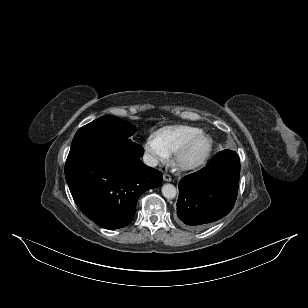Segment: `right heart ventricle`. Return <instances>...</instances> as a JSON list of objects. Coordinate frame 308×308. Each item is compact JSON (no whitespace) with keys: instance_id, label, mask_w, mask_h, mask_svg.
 <instances>
[{"instance_id":"right-heart-ventricle-1","label":"right heart ventricle","mask_w":308,"mask_h":308,"mask_svg":"<svg viewBox=\"0 0 308 308\" xmlns=\"http://www.w3.org/2000/svg\"><path fill=\"white\" fill-rule=\"evenodd\" d=\"M199 132H201V129L197 127L178 125L162 128L154 136L171 154L175 153L189 138Z\"/></svg>"}]
</instances>
